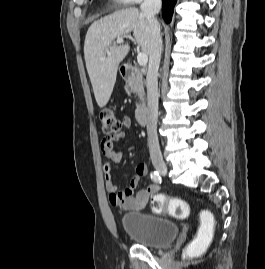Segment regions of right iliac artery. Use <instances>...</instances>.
Listing matches in <instances>:
<instances>
[{
    "mask_svg": "<svg viewBox=\"0 0 265 269\" xmlns=\"http://www.w3.org/2000/svg\"><path fill=\"white\" fill-rule=\"evenodd\" d=\"M150 177L154 182L161 184V181H162L161 176L159 175V173L157 171H152L150 173Z\"/></svg>",
    "mask_w": 265,
    "mask_h": 269,
    "instance_id": "right-iliac-artery-1",
    "label": "right iliac artery"
}]
</instances>
